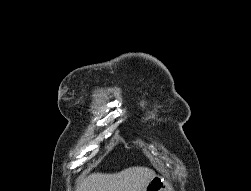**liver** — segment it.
Returning <instances> with one entry per match:
<instances>
[{"label": "liver", "mask_w": 251, "mask_h": 191, "mask_svg": "<svg viewBox=\"0 0 251 191\" xmlns=\"http://www.w3.org/2000/svg\"><path fill=\"white\" fill-rule=\"evenodd\" d=\"M154 175L155 171L149 167H128L119 173H91L77 191H145Z\"/></svg>", "instance_id": "6515ba94"}]
</instances>
